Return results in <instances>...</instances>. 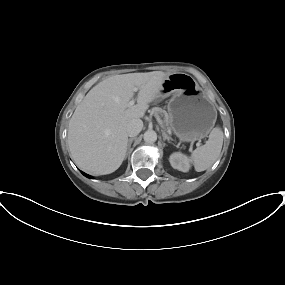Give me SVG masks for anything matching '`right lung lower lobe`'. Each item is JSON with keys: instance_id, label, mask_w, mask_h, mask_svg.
<instances>
[{"instance_id": "98d812e1", "label": "right lung lower lobe", "mask_w": 285, "mask_h": 285, "mask_svg": "<svg viewBox=\"0 0 285 285\" xmlns=\"http://www.w3.org/2000/svg\"><path fill=\"white\" fill-rule=\"evenodd\" d=\"M82 174H84L86 177L90 178V176H89V175H87L86 173H83V172H82Z\"/></svg>"}]
</instances>
